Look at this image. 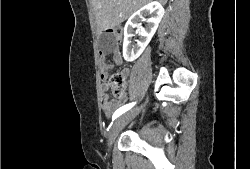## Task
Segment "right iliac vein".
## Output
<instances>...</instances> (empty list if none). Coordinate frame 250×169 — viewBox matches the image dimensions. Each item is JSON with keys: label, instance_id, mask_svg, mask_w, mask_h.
<instances>
[{"label": "right iliac vein", "instance_id": "1", "mask_svg": "<svg viewBox=\"0 0 250 169\" xmlns=\"http://www.w3.org/2000/svg\"><path fill=\"white\" fill-rule=\"evenodd\" d=\"M138 114V110L134 109L130 112H127L123 115H121L117 120L114 122L110 129L109 133V139H108V146L111 147L113 145V142L118 136L119 131L126 125L128 121L136 117Z\"/></svg>", "mask_w": 250, "mask_h": 169}]
</instances>
